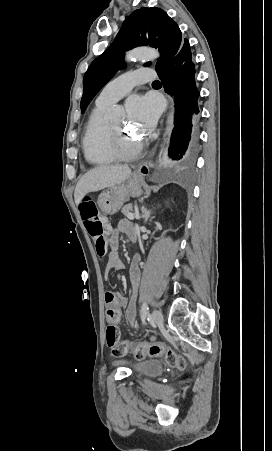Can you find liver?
Listing matches in <instances>:
<instances>
[{"mask_svg":"<svg viewBox=\"0 0 272 451\" xmlns=\"http://www.w3.org/2000/svg\"><path fill=\"white\" fill-rule=\"evenodd\" d=\"M131 170L127 164H116V166H97L93 170L86 172L79 182L74 192L76 206H79L81 200L88 192H98L104 188H111L115 184H121L129 178Z\"/></svg>","mask_w":272,"mask_h":451,"instance_id":"1","label":"liver"}]
</instances>
